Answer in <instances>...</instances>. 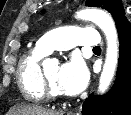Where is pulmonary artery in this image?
Segmentation results:
<instances>
[{"label":"pulmonary artery","mask_w":131,"mask_h":115,"mask_svg":"<svg viewBox=\"0 0 131 115\" xmlns=\"http://www.w3.org/2000/svg\"><path fill=\"white\" fill-rule=\"evenodd\" d=\"M100 44L101 39L96 29L78 26L52 30L37 42V46L47 53L55 49L66 50L76 45L96 47Z\"/></svg>","instance_id":"1"}]
</instances>
